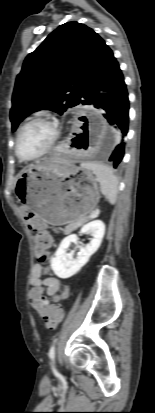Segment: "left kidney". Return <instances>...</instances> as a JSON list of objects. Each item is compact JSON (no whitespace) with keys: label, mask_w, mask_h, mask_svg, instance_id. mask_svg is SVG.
<instances>
[{"label":"left kidney","mask_w":155,"mask_h":413,"mask_svg":"<svg viewBox=\"0 0 155 413\" xmlns=\"http://www.w3.org/2000/svg\"><path fill=\"white\" fill-rule=\"evenodd\" d=\"M81 233H90L92 239L86 246L80 247L76 258H73V253H67L71 243H77L78 240L76 234H71L61 241L51 261V268L59 278L72 277L89 261L101 245L105 234V224L101 220L91 221L81 228Z\"/></svg>","instance_id":"left-kidney-1"}]
</instances>
